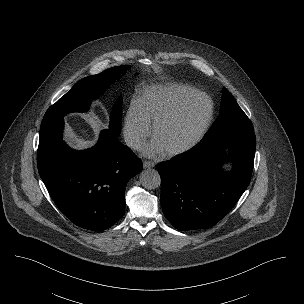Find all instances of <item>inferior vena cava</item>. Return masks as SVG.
<instances>
[{"label": "inferior vena cava", "mask_w": 304, "mask_h": 304, "mask_svg": "<svg viewBox=\"0 0 304 304\" xmlns=\"http://www.w3.org/2000/svg\"><path fill=\"white\" fill-rule=\"evenodd\" d=\"M124 139L126 145L133 149H137L141 144L140 137L134 134H126Z\"/></svg>", "instance_id": "1"}]
</instances>
